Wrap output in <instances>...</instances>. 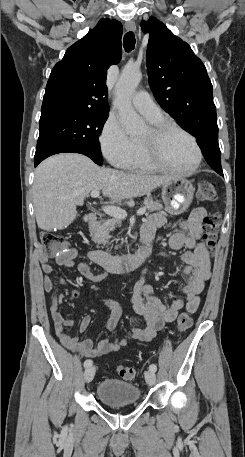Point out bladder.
Segmentation results:
<instances>
[{"instance_id": "1", "label": "bladder", "mask_w": 245, "mask_h": 457, "mask_svg": "<svg viewBox=\"0 0 245 457\" xmlns=\"http://www.w3.org/2000/svg\"><path fill=\"white\" fill-rule=\"evenodd\" d=\"M96 396L106 405L137 403L140 390L122 380H101L96 388Z\"/></svg>"}]
</instances>
